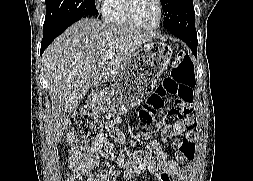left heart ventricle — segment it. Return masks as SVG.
<instances>
[{"label": "left heart ventricle", "mask_w": 253, "mask_h": 181, "mask_svg": "<svg viewBox=\"0 0 253 181\" xmlns=\"http://www.w3.org/2000/svg\"><path fill=\"white\" fill-rule=\"evenodd\" d=\"M134 13L140 23L155 24L158 18L157 0H135Z\"/></svg>", "instance_id": "b2bd125f"}]
</instances>
